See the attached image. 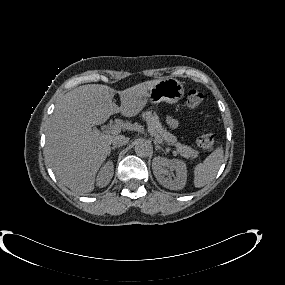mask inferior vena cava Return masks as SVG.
Listing matches in <instances>:
<instances>
[{
	"instance_id": "602c4592",
	"label": "inferior vena cava",
	"mask_w": 285,
	"mask_h": 285,
	"mask_svg": "<svg viewBox=\"0 0 285 285\" xmlns=\"http://www.w3.org/2000/svg\"><path fill=\"white\" fill-rule=\"evenodd\" d=\"M129 141V139L123 135H118L116 137H114V139L112 140V144L114 146H122L127 144Z\"/></svg>"
}]
</instances>
